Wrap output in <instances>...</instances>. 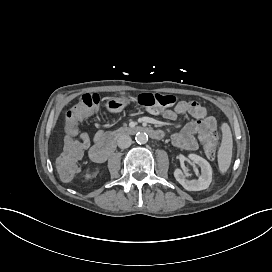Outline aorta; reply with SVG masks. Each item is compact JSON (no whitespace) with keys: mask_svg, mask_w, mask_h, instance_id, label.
<instances>
[{"mask_svg":"<svg viewBox=\"0 0 272 272\" xmlns=\"http://www.w3.org/2000/svg\"><path fill=\"white\" fill-rule=\"evenodd\" d=\"M135 140L139 144H145L148 141V135L145 132H137Z\"/></svg>","mask_w":272,"mask_h":272,"instance_id":"aorta-1","label":"aorta"}]
</instances>
